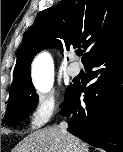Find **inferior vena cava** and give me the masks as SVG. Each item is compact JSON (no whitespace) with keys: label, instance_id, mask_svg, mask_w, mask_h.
<instances>
[{"label":"inferior vena cava","instance_id":"inferior-vena-cava-1","mask_svg":"<svg viewBox=\"0 0 123 152\" xmlns=\"http://www.w3.org/2000/svg\"><path fill=\"white\" fill-rule=\"evenodd\" d=\"M67 128H68V123L65 121H62L59 125V129L61 130L62 133L67 134Z\"/></svg>","mask_w":123,"mask_h":152}]
</instances>
